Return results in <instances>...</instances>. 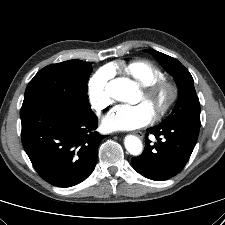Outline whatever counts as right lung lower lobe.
<instances>
[{"mask_svg":"<svg viewBox=\"0 0 225 225\" xmlns=\"http://www.w3.org/2000/svg\"><path fill=\"white\" fill-rule=\"evenodd\" d=\"M22 144L37 173L58 187H71L94 170L104 136L95 114L80 115L48 103L22 105Z\"/></svg>","mask_w":225,"mask_h":225,"instance_id":"98d812e1","label":"right lung lower lobe"}]
</instances>
